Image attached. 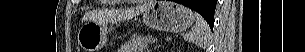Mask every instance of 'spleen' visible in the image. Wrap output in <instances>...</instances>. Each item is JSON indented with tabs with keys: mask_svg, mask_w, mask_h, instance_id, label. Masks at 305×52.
Here are the masks:
<instances>
[{
	"mask_svg": "<svg viewBox=\"0 0 305 52\" xmlns=\"http://www.w3.org/2000/svg\"><path fill=\"white\" fill-rule=\"evenodd\" d=\"M196 24L192 30L184 35V39L200 47L208 45L210 28L205 19L198 13H195Z\"/></svg>",
	"mask_w": 305,
	"mask_h": 52,
	"instance_id": "3e777b00",
	"label": "spleen"
}]
</instances>
